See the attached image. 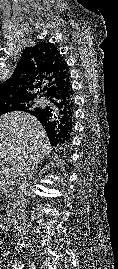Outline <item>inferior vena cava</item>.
Returning <instances> with one entry per match:
<instances>
[{
	"mask_svg": "<svg viewBox=\"0 0 118 269\" xmlns=\"http://www.w3.org/2000/svg\"><path fill=\"white\" fill-rule=\"evenodd\" d=\"M35 165L33 164H27V163H23L21 164L18 172L16 173V177H17V203L19 208L22 210V213L20 215V219L22 224H24L25 222V214H24V207H25V199H24V194L26 192V189L28 187V181L29 179L32 177V168Z\"/></svg>",
	"mask_w": 118,
	"mask_h": 269,
	"instance_id": "obj_1",
	"label": "inferior vena cava"
}]
</instances>
